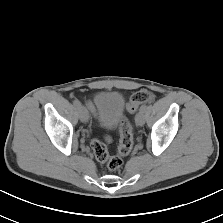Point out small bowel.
I'll return each instance as SVG.
<instances>
[{
  "instance_id": "obj_1",
  "label": "small bowel",
  "mask_w": 223,
  "mask_h": 223,
  "mask_svg": "<svg viewBox=\"0 0 223 223\" xmlns=\"http://www.w3.org/2000/svg\"><path fill=\"white\" fill-rule=\"evenodd\" d=\"M87 106L89 108V110L91 111L92 114H95L96 113V110H95V106L93 105L92 102H87Z\"/></svg>"
}]
</instances>
